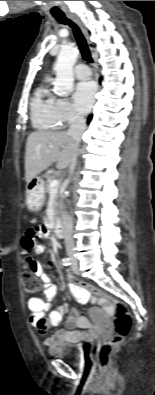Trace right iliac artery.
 <instances>
[{
	"mask_svg": "<svg viewBox=\"0 0 155 395\" xmlns=\"http://www.w3.org/2000/svg\"><path fill=\"white\" fill-rule=\"evenodd\" d=\"M62 262H63V265H65V266L71 265V261H70L69 258H64V259L62 260Z\"/></svg>",
	"mask_w": 155,
	"mask_h": 395,
	"instance_id": "82829eb1",
	"label": "right iliac artery"
}]
</instances>
